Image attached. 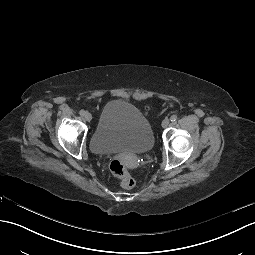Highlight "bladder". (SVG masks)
Masks as SVG:
<instances>
[{
	"mask_svg": "<svg viewBox=\"0 0 255 255\" xmlns=\"http://www.w3.org/2000/svg\"><path fill=\"white\" fill-rule=\"evenodd\" d=\"M154 144L148 119L133 104L113 100L104 109L91 148L96 153L127 152L143 154Z\"/></svg>",
	"mask_w": 255,
	"mask_h": 255,
	"instance_id": "bladder-1",
	"label": "bladder"
}]
</instances>
